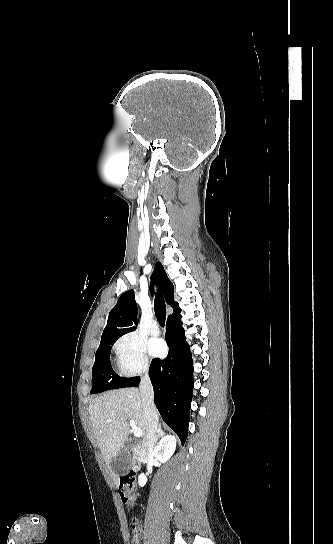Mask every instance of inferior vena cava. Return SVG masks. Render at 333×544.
Wrapping results in <instances>:
<instances>
[{"instance_id": "inferior-vena-cava-1", "label": "inferior vena cava", "mask_w": 333, "mask_h": 544, "mask_svg": "<svg viewBox=\"0 0 333 544\" xmlns=\"http://www.w3.org/2000/svg\"><path fill=\"white\" fill-rule=\"evenodd\" d=\"M139 388L146 425V436L142 442V456L144 460H147L153 454L158 431V412L154 404L153 387L146 371L142 376Z\"/></svg>"}]
</instances>
